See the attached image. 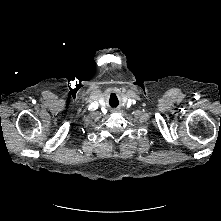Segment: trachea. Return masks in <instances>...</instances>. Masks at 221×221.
Returning a JSON list of instances; mask_svg holds the SVG:
<instances>
[{"label":"trachea","mask_w":221,"mask_h":221,"mask_svg":"<svg viewBox=\"0 0 221 221\" xmlns=\"http://www.w3.org/2000/svg\"><path fill=\"white\" fill-rule=\"evenodd\" d=\"M117 105H118V102H117L115 105H112V104H111L112 107H116Z\"/></svg>","instance_id":"obj_1"}]
</instances>
